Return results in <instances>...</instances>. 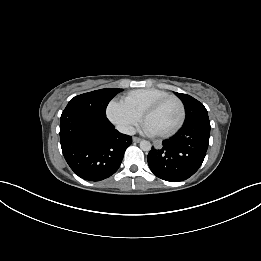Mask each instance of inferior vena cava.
Returning a JSON list of instances; mask_svg holds the SVG:
<instances>
[{
	"mask_svg": "<svg viewBox=\"0 0 261 261\" xmlns=\"http://www.w3.org/2000/svg\"><path fill=\"white\" fill-rule=\"evenodd\" d=\"M117 130L123 134L127 135H134L135 134V128L132 126H126V125H120L117 126Z\"/></svg>",
	"mask_w": 261,
	"mask_h": 261,
	"instance_id": "1",
	"label": "inferior vena cava"
}]
</instances>
